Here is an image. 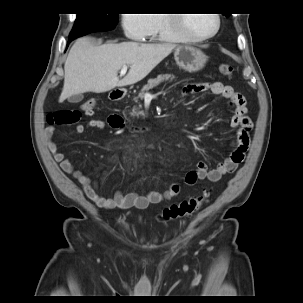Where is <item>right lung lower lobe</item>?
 Wrapping results in <instances>:
<instances>
[{"label": "right lung lower lobe", "mask_w": 303, "mask_h": 303, "mask_svg": "<svg viewBox=\"0 0 303 303\" xmlns=\"http://www.w3.org/2000/svg\"><path fill=\"white\" fill-rule=\"evenodd\" d=\"M108 30H111V29H100V30H96V31H93V32H97V31H108ZM75 38H69V43L74 40Z\"/></svg>", "instance_id": "98d812e1"}]
</instances>
